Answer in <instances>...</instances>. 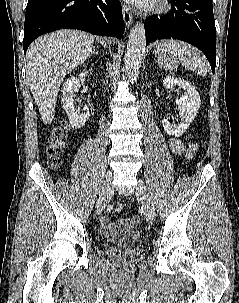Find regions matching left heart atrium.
Listing matches in <instances>:
<instances>
[{
	"mask_svg": "<svg viewBox=\"0 0 239 303\" xmlns=\"http://www.w3.org/2000/svg\"><path fill=\"white\" fill-rule=\"evenodd\" d=\"M137 6H146L148 5L152 0H127Z\"/></svg>",
	"mask_w": 239,
	"mask_h": 303,
	"instance_id": "39dd6f15",
	"label": "left heart atrium"
}]
</instances>
